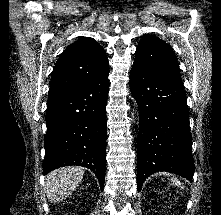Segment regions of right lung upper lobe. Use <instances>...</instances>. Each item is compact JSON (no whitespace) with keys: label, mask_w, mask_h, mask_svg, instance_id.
<instances>
[{"label":"right lung upper lobe","mask_w":221,"mask_h":215,"mask_svg":"<svg viewBox=\"0 0 221 215\" xmlns=\"http://www.w3.org/2000/svg\"><path fill=\"white\" fill-rule=\"evenodd\" d=\"M109 73L104 49L93 39L82 38L62 53L56 62L48 99L74 91Z\"/></svg>","instance_id":"obj_1"}]
</instances>
